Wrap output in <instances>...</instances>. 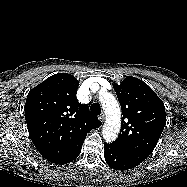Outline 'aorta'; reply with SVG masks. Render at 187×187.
<instances>
[{
    "label": "aorta",
    "mask_w": 187,
    "mask_h": 187,
    "mask_svg": "<svg viewBox=\"0 0 187 187\" xmlns=\"http://www.w3.org/2000/svg\"><path fill=\"white\" fill-rule=\"evenodd\" d=\"M100 101L106 115L102 135L107 142H112L116 140L120 131L121 109L118 101L111 93L101 95Z\"/></svg>",
    "instance_id": "762f6f07"
}]
</instances>
